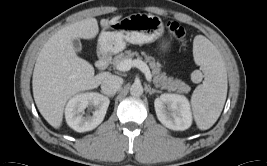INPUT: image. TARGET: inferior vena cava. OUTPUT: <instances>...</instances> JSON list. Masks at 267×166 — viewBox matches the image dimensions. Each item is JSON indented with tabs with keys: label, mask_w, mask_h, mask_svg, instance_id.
<instances>
[{
	"label": "inferior vena cava",
	"mask_w": 267,
	"mask_h": 166,
	"mask_svg": "<svg viewBox=\"0 0 267 166\" xmlns=\"http://www.w3.org/2000/svg\"><path fill=\"white\" fill-rule=\"evenodd\" d=\"M123 79L116 75H108L101 83L102 92L106 95H114L122 86Z\"/></svg>",
	"instance_id": "602c4592"
}]
</instances>
